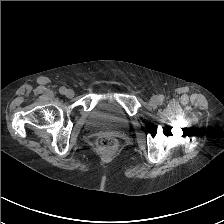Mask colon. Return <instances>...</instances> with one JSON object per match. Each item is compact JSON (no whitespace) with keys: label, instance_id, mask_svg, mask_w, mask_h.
I'll use <instances>...</instances> for the list:
<instances>
[{"label":"colon","instance_id":"1","mask_svg":"<svg viewBox=\"0 0 224 224\" xmlns=\"http://www.w3.org/2000/svg\"><path fill=\"white\" fill-rule=\"evenodd\" d=\"M98 145L101 149L112 150L116 147V142L114 139L109 137H101L98 140Z\"/></svg>","mask_w":224,"mask_h":224}]
</instances>
